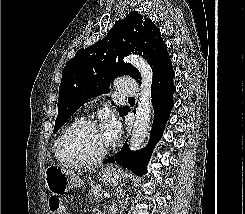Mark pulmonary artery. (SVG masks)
I'll return each mask as SVG.
<instances>
[{
    "mask_svg": "<svg viewBox=\"0 0 245 214\" xmlns=\"http://www.w3.org/2000/svg\"><path fill=\"white\" fill-rule=\"evenodd\" d=\"M114 88L126 96H135L138 93V84L133 79L120 78L114 82Z\"/></svg>",
    "mask_w": 245,
    "mask_h": 214,
    "instance_id": "e3ab8cb5",
    "label": "pulmonary artery"
}]
</instances>
